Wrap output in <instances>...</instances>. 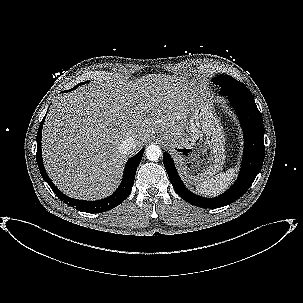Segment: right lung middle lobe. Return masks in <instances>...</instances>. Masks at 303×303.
Masks as SVG:
<instances>
[{"mask_svg":"<svg viewBox=\"0 0 303 303\" xmlns=\"http://www.w3.org/2000/svg\"><path fill=\"white\" fill-rule=\"evenodd\" d=\"M84 83H87V82H82V83L76 85V86H75L74 88H72L71 90L76 89L78 86H80V85H82V84H84Z\"/></svg>","mask_w":303,"mask_h":303,"instance_id":"1","label":"right lung middle lobe"}]
</instances>
